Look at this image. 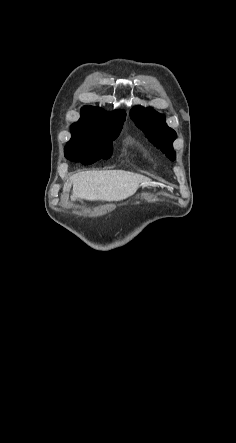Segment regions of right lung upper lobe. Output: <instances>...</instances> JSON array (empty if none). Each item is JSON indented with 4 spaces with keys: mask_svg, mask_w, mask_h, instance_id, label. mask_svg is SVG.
I'll return each mask as SVG.
<instances>
[{
    "mask_svg": "<svg viewBox=\"0 0 236 443\" xmlns=\"http://www.w3.org/2000/svg\"><path fill=\"white\" fill-rule=\"evenodd\" d=\"M126 113L123 110H115L112 113H106L102 109L93 106H84L81 109L80 119H108L113 121H124Z\"/></svg>",
    "mask_w": 236,
    "mask_h": 443,
    "instance_id": "right-lung-upper-lobe-1",
    "label": "right lung upper lobe"
}]
</instances>
